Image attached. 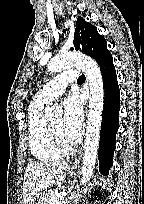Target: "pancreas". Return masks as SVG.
I'll list each match as a JSON object with an SVG mask.
<instances>
[{"label":"pancreas","mask_w":144,"mask_h":204,"mask_svg":"<svg viewBox=\"0 0 144 204\" xmlns=\"http://www.w3.org/2000/svg\"><path fill=\"white\" fill-rule=\"evenodd\" d=\"M57 191L49 190L43 192L39 204H63L64 199H53L57 195Z\"/></svg>","instance_id":"cf45deb5"}]
</instances>
